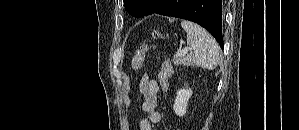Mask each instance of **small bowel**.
Segmentation results:
<instances>
[{
    "mask_svg": "<svg viewBox=\"0 0 299 130\" xmlns=\"http://www.w3.org/2000/svg\"><path fill=\"white\" fill-rule=\"evenodd\" d=\"M159 85L157 81L144 75L139 88V108L145 114L139 121L138 130H156L153 125L161 121V114L158 111Z\"/></svg>",
    "mask_w": 299,
    "mask_h": 130,
    "instance_id": "c3829d8e",
    "label": "small bowel"
}]
</instances>
